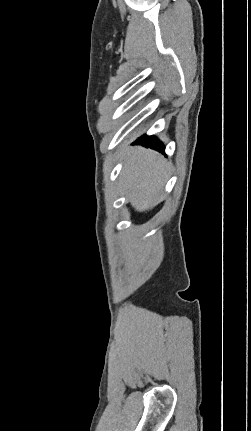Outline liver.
Wrapping results in <instances>:
<instances>
[{"instance_id": "obj_1", "label": "liver", "mask_w": 251, "mask_h": 431, "mask_svg": "<svg viewBox=\"0 0 251 431\" xmlns=\"http://www.w3.org/2000/svg\"><path fill=\"white\" fill-rule=\"evenodd\" d=\"M122 159L120 184L127 200L139 212L152 208L162 196L168 164L155 151L143 147L127 150Z\"/></svg>"}]
</instances>
